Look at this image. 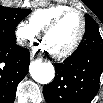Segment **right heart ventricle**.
<instances>
[{
    "instance_id": "obj_1",
    "label": "right heart ventricle",
    "mask_w": 103,
    "mask_h": 103,
    "mask_svg": "<svg viewBox=\"0 0 103 103\" xmlns=\"http://www.w3.org/2000/svg\"><path fill=\"white\" fill-rule=\"evenodd\" d=\"M71 8L65 4H57L34 11L29 17V23L38 31L42 29L58 14Z\"/></svg>"
}]
</instances>
